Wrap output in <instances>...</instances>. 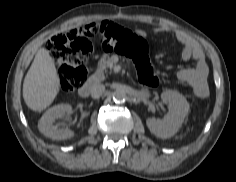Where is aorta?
<instances>
[{"label":"aorta","instance_id":"762f6f07","mask_svg":"<svg viewBox=\"0 0 236 182\" xmlns=\"http://www.w3.org/2000/svg\"><path fill=\"white\" fill-rule=\"evenodd\" d=\"M113 100L115 102L121 103L126 100V92L122 89H116L112 94Z\"/></svg>","mask_w":236,"mask_h":182}]
</instances>
